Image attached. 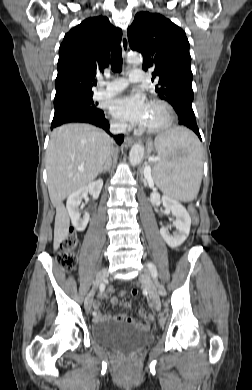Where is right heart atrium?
<instances>
[{
  "mask_svg": "<svg viewBox=\"0 0 252 390\" xmlns=\"http://www.w3.org/2000/svg\"><path fill=\"white\" fill-rule=\"evenodd\" d=\"M112 125H113V127L118 128V129H123L125 127L124 123L121 122L120 120H117V119H114L112 121Z\"/></svg>",
  "mask_w": 252,
  "mask_h": 390,
  "instance_id": "1",
  "label": "right heart atrium"
}]
</instances>
